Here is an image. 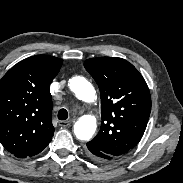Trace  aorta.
<instances>
[{
	"label": "aorta",
	"mask_w": 183,
	"mask_h": 183,
	"mask_svg": "<svg viewBox=\"0 0 183 183\" xmlns=\"http://www.w3.org/2000/svg\"><path fill=\"white\" fill-rule=\"evenodd\" d=\"M70 89L75 96L91 103L96 99V91L93 85L84 77L75 76L70 79ZM97 128L96 119L93 116L85 115L74 124V134L79 140L88 141L95 134Z\"/></svg>",
	"instance_id": "obj_1"
}]
</instances>
